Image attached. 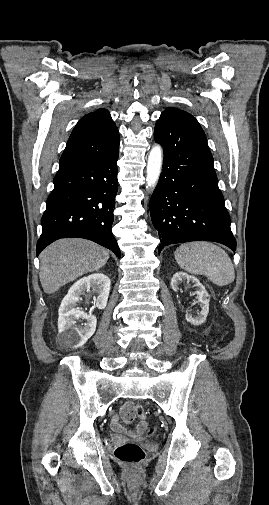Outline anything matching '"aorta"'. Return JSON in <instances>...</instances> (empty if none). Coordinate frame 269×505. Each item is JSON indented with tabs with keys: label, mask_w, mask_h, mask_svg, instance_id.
I'll return each instance as SVG.
<instances>
[{
	"label": "aorta",
	"mask_w": 269,
	"mask_h": 505,
	"mask_svg": "<svg viewBox=\"0 0 269 505\" xmlns=\"http://www.w3.org/2000/svg\"><path fill=\"white\" fill-rule=\"evenodd\" d=\"M162 148L154 145L149 153L146 169L147 188H154L159 180L162 169Z\"/></svg>",
	"instance_id": "aorta-1"
}]
</instances>
